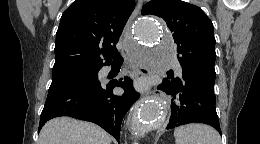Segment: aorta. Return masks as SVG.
Masks as SVG:
<instances>
[{
  "label": "aorta",
  "instance_id": "762f6f07",
  "mask_svg": "<svg viewBox=\"0 0 260 144\" xmlns=\"http://www.w3.org/2000/svg\"><path fill=\"white\" fill-rule=\"evenodd\" d=\"M135 34L141 44L152 47L137 49L143 64L160 66L165 55L172 50L173 42L161 32L158 22L151 17H144L135 25ZM165 105L155 99L147 98L139 101L132 109L128 125L136 138L143 137L149 130L161 126L165 122Z\"/></svg>",
  "mask_w": 260,
  "mask_h": 144
}]
</instances>
